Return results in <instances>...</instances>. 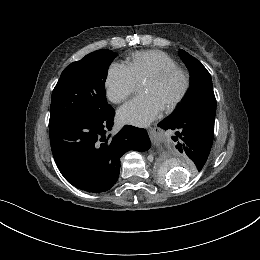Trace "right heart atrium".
Masks as SVG:
<instances>
[{"label":"right heart atrium","mask_w":260,"mask_h":260,"mask_svg":"<svg viewBox=\"0 0 260 260\" xmlns=\"http://www.w3.org/2000/svg\"><path fill=\"white\" fill-rule=\"evenodd\" d=\"M137 82L128 68L121 64H112L105 81L106 94L113 103H121L135 90Z\"/></svg>","instance_id":"obj_1"}]
</instances>
